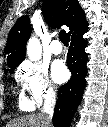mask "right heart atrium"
Instances as JSON below:
<instances>
[{
    "label": "right heart atrium",
    "instance_id": "right-heart-atrium-1",
    "mask_svg": "<svg viewBox=\"0 0 108 127\" xmlns=\"http://www.w3.org/2000/svg\"><path fill=\"white\" fill-rule=\"evenodd\" d=\"M16 78L33 106L53 100L56 96V88L49 77L48 70L40 64L23 62L17 70Z\"/></svg>",
    "mask_w": 108,
    "mask_h": 127
}]
</instances>
